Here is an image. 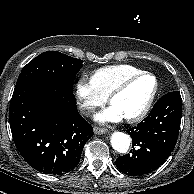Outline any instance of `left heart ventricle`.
<instances>
[{
  "mask_svg": "<svg viewBox=\"0 0 194 194\" xmlns=\"http://www.w3.org/2000/svg\"><path fill=\"white\" fill-rule=\"evenodd\" d=\"M155 87V81L150 76H144L134 81L123 93L117 96L111 106L123 117H132L145 106Z\"/></svg>",
  "mask_w": 194,
  "mask_h": 194,
  "instance_id": "1",
  "label": "left heart ventricle"
}]
</instances>
